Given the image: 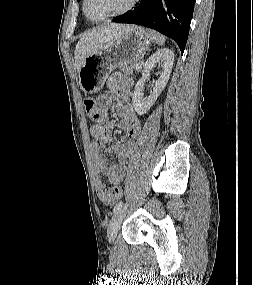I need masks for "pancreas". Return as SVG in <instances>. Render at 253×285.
<instances>
[{"instance_id":"obj_1","label":"pancreas","mask_w":253,"mask_h":285,"mask_svg":"<svg viewBox=\"0 0 253 285\" xmlns=\"http://www.w3.org/2000/svg\"><path fill=\"white\" fill-rule=\"evenodd\" d=\"M137 65H138V63H132L130 65L120 67V70L123 71L126 75H132L133 71H134V69H136Z\"/></svg>"}]
</instances>
